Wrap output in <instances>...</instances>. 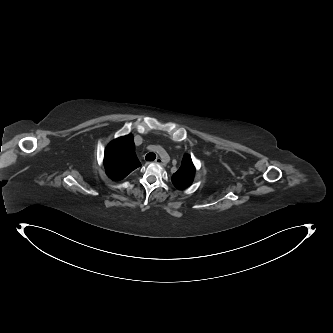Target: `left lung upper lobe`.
Returning a JSON list of instances; mask_svg holds the SVG:
<instances>
[{
  "label": "left lung upper lobe",
  "mask_w": 333,
  "mask_h": 333,
  "mask_svg": "<svg viewBox=\"0 0 333 333\" xmlns=\"http://www.w3.org/2000/svg\"><path fill=\"white\" fill-rule=\"evenodd\" d=\"M194 175L192 159L189 155H184L180 168L172 176V183L179 190L185 189L192 184Z\"/></svg>",
  "instance_id": "1"
}]
</instances>
